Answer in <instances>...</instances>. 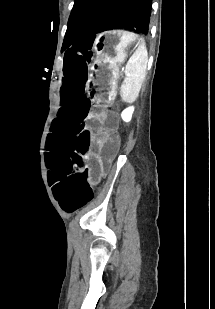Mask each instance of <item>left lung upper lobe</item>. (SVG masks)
<instances>
[{"label": "left lung upper lobe", "mask_w": 215, "mask_h": 309, "mask_svg": "<svg viewBox=\"0 0 215 309\" xmlns=\"http://www.w3.org/2000/svg\"><path fill=\"white\" fill-rule=\"evenodd\" d=\"M151 10L152 0H74L62 49L111 29L147 34Z\"/></svg>", "instance_id": "1"}]
</instances>
